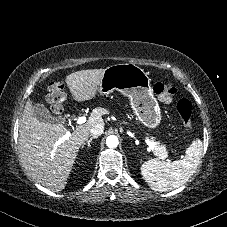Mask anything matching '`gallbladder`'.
I'll return each mask as SVG.
<instances>
[{
    "label": "gallbladder",
    "mask_w": 227,
    "mask_h": 227,
    "mask_svg": "<svg viewBox=\"0 0 227 227\" xmlns=\"http://www.w3.org/2000/svg\"><path fill=\"white\" fill-rule=\"evenodd\" d=\"M33 115L41 122H46V123H62L64 122V118H56L53 117L49 110L40 103H36L33 105Z\"/></svg>",
    "instance_id": "1"
}]
</instances>
